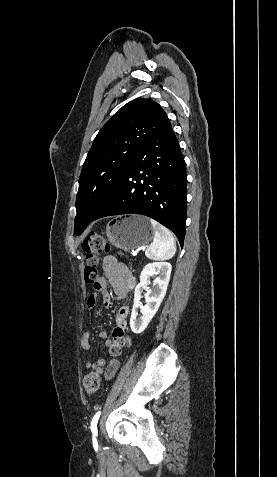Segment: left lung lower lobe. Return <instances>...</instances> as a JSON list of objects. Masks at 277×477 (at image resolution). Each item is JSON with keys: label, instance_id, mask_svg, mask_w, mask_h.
Listing matches in <instances>:
<instances>
[{"label": "left lung lower lobe", "instance_id": "obj_1", "mask_svg": "<svg viewBox=\"0 0 277 477\" xmlns=\"http://www.w3.org/2000/svg\"><path fill=\"white\" fill-rule=\"evenodd\" d=\"M120 214H141L153 218L170 229L183 246L187 176L184 158L171 123L149 140L130 161L91 222Z\"/></svg>", "mask_w": 277, "mask_h": 477}]
</instances>
